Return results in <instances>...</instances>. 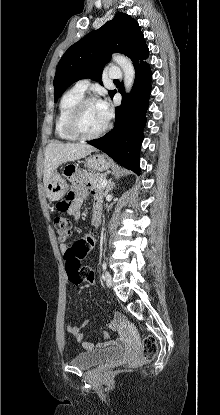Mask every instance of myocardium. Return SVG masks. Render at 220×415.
<instances>
[{"label": "myocardium", "instance_id": "1", "mask_svg": "<svg viewBox=\"0 0 220 415\" xmlns=\"http://www.w3.org/2000/svg\"><path fill=\"white\" fill-rule=\"evenodd\" d=\"M93 103H97V100L91 97L83 98L74 105V107L70 110V112L67 115L65 127L67 131L72 136H74L76 139L91 140V139L99 138L106 132L108 128V123L106 122L104 126L98 132L93 133V134H86L80 129L79 120H80L82 111L87 105L93 104Z\"/></svg>", "mask_w": 220, "mask_h": 415}]
</instances>
